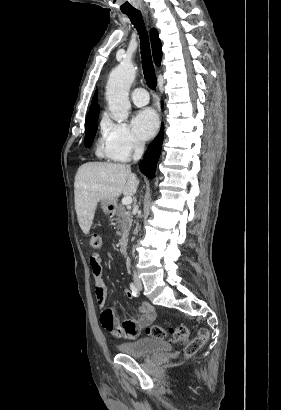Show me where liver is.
I'll use <instances>...</instances> for the list:
<instances>
[{
    "label": "liver",
    "instance_id": "liver-1",
    "mask_svg": "<svg viewBox=\"0 0 281 410\" xmlns=\"http://www.w3.org/2000/svg\"><path fill=\"white\" fill-rule=\"evenodd\" d=\"M139 180L131 172L130 165L87 162L77 171L74 182L75 210L79 226L88 234L93 224L99 201L116 202L123 194L133 196L137 192Z\"/></svg>",
    "mask_w": 281,
    "mask_h": 410
}]
</instances>
